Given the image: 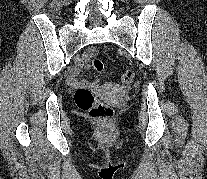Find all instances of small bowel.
Instances as JSON below:
<instances>
[{"label":"small bowel","mask_w":207,"mask_h":179,"mask_svg":"<svg viewBox=\"0 0 207 179\" xmlns=\"http://www.w3.org/2000/svg\"><path fill=\"white\" fill-rule=\"evenodd\" d=\"M99 55V52L96 48H88L81 55L78 64L71 72L70 84L74 87L78 86H87L91 88H96L98 86V82L96 80L89 81L86 79H78L77 76L84 70L89 67V63L92 59Z\"/></svg>","instance_id":"small-bowel-1"}]
</instances>
